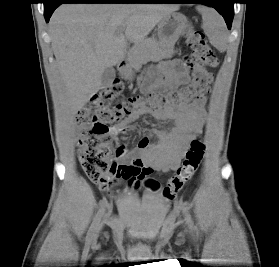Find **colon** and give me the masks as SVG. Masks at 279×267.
Instances as JSON below:
<instances>
[{
    "instance_id": "1",
    "label": "colon",
    "mask_w": 279,
    "mask_h": 267,
    "mask_svg": "<svg viewBox=\"0 0 279 267\" xmlns=\"http://www.w3.org/2000/svg\"><path fill=\"white\" fill-rule=\"evenodd\" d=\"M185 42L191 50L186 58L187 65L192 70L190 84L164 93L153 92L147 97L132 96L117 102L123 94L124 87L121 82L115 81L101 89L89 105L78 111L76 122L80 132L77 154L82 168L92 181L99 182L107 176L128 179L142 172L140 162L122 161L125 156L123 146L113 148L109 143V136L114 128L132 112L140 108L182 107L203 95L212 81V75L204 68L216 66L217 58L206 42L203 32L191 25L186 28ZM204 153L203 140H192L181 166L164 187L163 193L167 199H173L192 178L201 164ZM147 184L152 188L157 187L153 181H148Z\"/></svg>"
}]
</instances>
